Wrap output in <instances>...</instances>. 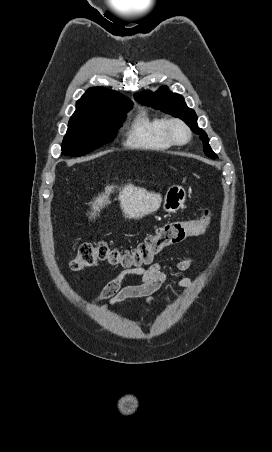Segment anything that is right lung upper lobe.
<instances>
[{
	"label": "right lung upper lobe",
	"instance_id": "obj_1",
	"mask_svg": "<svg viewBox=\"0 0 272 452\" xmlns=\"http://www.w3.org/2000/svg\"><path fill=\"white\" fill-rule=\"evenodd\" d=\"M122 104H132V101L116 91L92 87L77 101L76 111L69 121L89 118Z\"/></svg>",
	"mask_w": 272,
	"mask_h": 452
}]
</instances>
